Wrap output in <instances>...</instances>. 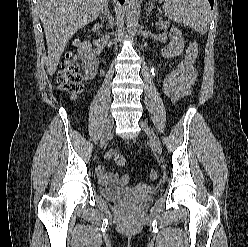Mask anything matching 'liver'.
I'll use <instances>...</instances> for the list:
<instances>
[{"mask_svg": "<svg viewBox=\"0 0 248 247\" xmlns=\"http://www.w3.org/2000/svg\"><path fill=\"white\" fill-rule=\"evenodd\" d=\"M108 0H38L37 6L46 35L49 75L57 69L60 57L70 38L94 21Z\"/></svg>", "mask_w": 248, "mask_h": 247, "instance_id": "6515ba94", "label": "liver"}]
</instances>
